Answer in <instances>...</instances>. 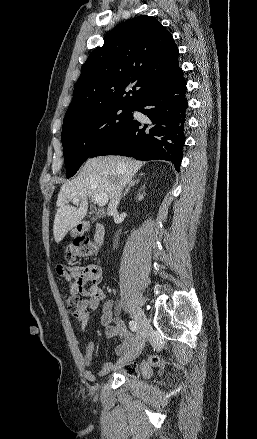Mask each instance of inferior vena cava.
<instances>
[{
	"label": "inferior vena cava",
	"mask_w": 257,
	"mask_h": 439,
	"mask_svg": "<svg viewBox=\"0 0 257 439\" xmlns=\"http://www.w3.org/2000/svg\"><path fill=\"white\" fill-rule=\"evenodd\" d=\"M125 186V184L121 185V187L119 188V190L114 194V196L110 199V203L108 205V215H116L117 214V207L121 198V192L123 187Z\"/></svg>",
	"instance_id": "1"
}]
</instances>
